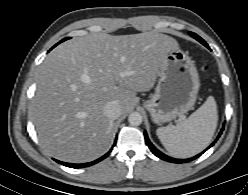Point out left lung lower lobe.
Returning <instances> with one entry per match:
<instances>
[{
  "mask_svg": "<svg viewBox=\"0 0 248 195\" xmlns=\"http://www.w3.org/2000/svg\"><path fill=\"white\" fill-rule=\"evenodd\" d=\"M207 48L208 45H206ZM224 127L222 128V130L220 131L218 137L221 135L222 131H223ZM144 136H145V140H146V144L148 145V147L150 148V150L152 151V153L154 155H156L157 157L165 160V161H168V162H171V163H186V162H190L196 158H198L199 156H201L208 148H210L211 146H213L214 143H212L206 150H204L202 153L192 157V158H189V159H174V158H171L169 156H166L165 154H163L162 152H160L158 149L155 148V146L150 142L146 132H144Z\"/></svg>",
  "mask_w": 248,
  "mask_h": 195,
  "instance_id": "left-lung-lower-lobe-1",
  "label": "left lung lower lobe"
}]
</instances>
